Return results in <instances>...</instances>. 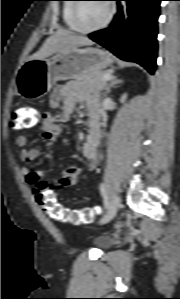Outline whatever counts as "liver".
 I'll return each instance as SVG.
<instances>
[{"mask_svg": "<svg viewBox=\"0 0 180 299\" xmlns=\"http://www.w3.org/2000/svg\"><path fill=\"white\" fill-rule=\"evenodd\" d=\"M92 44L93 42L87 37L74 34L65 29H58L45 40L41 48L30 56L29 59H46L65 49L78 48Z\"/></svg>", "mask_w": 180, "mask_h": 299, "instance_id": "6515ba94", "label": "liver"}]
</instances>
